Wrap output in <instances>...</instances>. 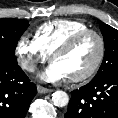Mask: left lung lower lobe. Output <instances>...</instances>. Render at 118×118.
<instances>
[{
	"mask_svg": "<svg viewBox=\"0 0 118 118\" xmlns=\"http://www.w3.org/2000/svg\"><path fill=\"white\" fill-rule=\"evenodd\" d=\"M65 118H118V72L71 92Z\"/></svg>",
	"mask_w": 118,
	"mask_h": 118,
	"instance_id": "left-lung-lower-lobe-1",
	"label": "left lung lower lobe"
}]
</instances>
